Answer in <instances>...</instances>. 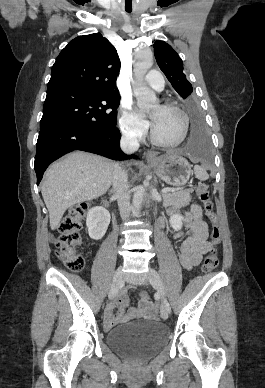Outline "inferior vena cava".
Listing matches in <instances>:
<instances>
[{
	"label": "inferior vena cava",
	"instance_id": "602c4592",
	"mask_svg": "<svg viewBox=\"0 0 265 388\" xmlns=\"http://www.w3.org/2000/svg\"><path fill=\"white\" fill-rule=\"evenodd\" d=\"M120 148L125 152V154H133L137 152L139 148V142L135 136H128V134H123L120 140ZM112 186L114 196L117 198L120 216L122 220H126L130 214V196H129V186H128V176L127 172L120 168L117 164L113 172Z\"/></svg>",
	"mask_w": 265,
	"mask_h": 388
}]
</instances>
